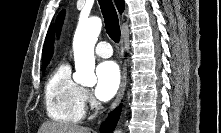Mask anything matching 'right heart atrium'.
Listing matches in <instances>:
<instances>
[{
  "instance_id": "obj_1",
  "label": "right heart atrium",
  "mask_w": 221,
  "mask_h": 133,
  "mask_svg": "<svg viewBox=\"0 0 221 133\" xmlns=\"http://www.w3.org/2000/svg\"><path fill=\"white\" fill-rule=\"evenodd\" d=\"M83 103L88 106H93V99L90 92L87 89H83L82 92Z\"/></svg>"
}]
</instances>
